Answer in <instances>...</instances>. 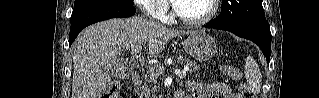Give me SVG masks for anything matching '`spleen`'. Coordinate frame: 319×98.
Here are the masks:
<instances>
[{"mask_svg":"<svg viewBox=\"0 0 319 98\" xmlns=\"http://www.w3.org/2000/svg\"><path fill=\"white\" fill-rule=\"evenodd\" d=\"M244 73L251 91L254 93L260 92V88L262 85L261 71L258 64L250 56L246 58Z\"/></svg>","mask_w":319,"mask_h":98,"instance_id":"spleen-1","label":"spleen"}]
</instances>
